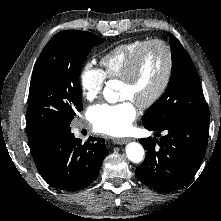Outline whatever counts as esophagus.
<instances>
[{"label":"esophagus","mask_w":221,"mask_h":221,"mask_svg":"<svg viewBox=\"0 0 221 221\" xmlns=\"http://www.w3.org/2000/svg\"><path fill=\"white\" fill-rule=\"evenodd\" d=\"M130 140H131L130 138H114L113 143L122 145V144H126Z\"/></svg>","instance_id":"34e87169"}]
</instances>
